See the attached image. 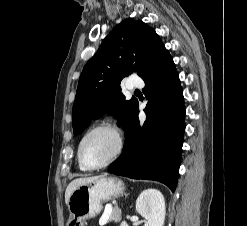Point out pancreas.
I'll return each instance as SVG.
<instances>
[{
	"label": "pancreas",
	"instance_id": "cf45deb5",
	"mask_svg": "<svg viewBox=\"0 0 247 226\" xmlns=\"http://www.w3.org/2000/svg\"><path fill=\"white\" fill-rule=\"evenodd\" d=\"M118 215H119L118 209L115 208V209L112 211V213H111V216H110V218H109V221H117Z\"/></svg>",
	"mask_w": 247,
	"mask_h": 226
}]
</instances>
